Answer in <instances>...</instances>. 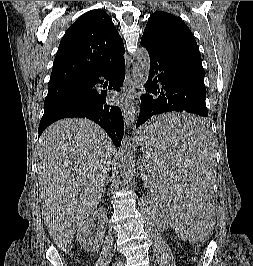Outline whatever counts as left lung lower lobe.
Here are the masks:
<instances>
[{
    "mask_svg": "<svg viewBox=\"0 0 253 266\" xmlns=\"http://www.w3.org/2000/svg\"><path fill=\"white\" fill-rule=\"evenodd\" d=\"M150 56L147 93L141 98L136 128L149 122L154 115L171 111H186L207 117L205 105V71L201 56L182 48L158 47L141 41ZM207 130L206 121L185 124H159L148 132L152 138L183 135L196 139Z\"/></svg>",
    "mask_w": 253,
    "mask_h": 266,
    "instance_id": "1",
    "label": "left lung lower lobe"
}]
</instances>
